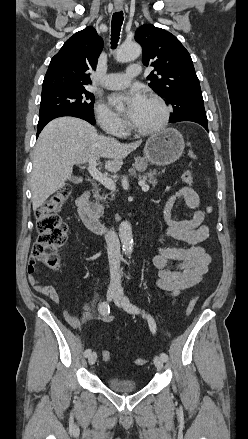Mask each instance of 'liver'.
Here are the masks:
<instances>
[{"label":"liver","mask_w":248,"mask_h":439,"mask_svg":"<svg viewBox=\"0 0 248 439\" xmlns=\"http://www.w3.org/2000/svg\"><path fill=\"white\" fill-rule=\"evenodd\" d=\"M141 141L123 144L111 137L98 135L88 122L74 117H60L48 123L34 148L30 178L33 210L71 178L73 166L101 157L109 159L105 169L116 173L123 159L137 149Z\"/></svg>","instance_id":"obj_1"}]
</instances>
